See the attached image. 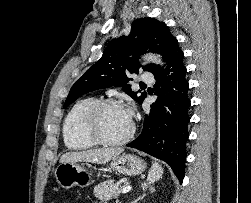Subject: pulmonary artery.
<instances>
[{
    "label": "pulmonary artery",
    "instance_id": "pulmonary-artery-1",
    "mask_svg": "<svg viewBox=\"0 0 251 203\" xmlns=\"http://www.w3.org/2000/svg\"><path fill=\"white\" fill-rule=\"evenodd\" d=\"M140 81L142 83H153L154 82V75L152 73H143L140 75Z\"/></svg>",
    "mask_w": 251,
    "mask_h": 203
}]
</instances>
